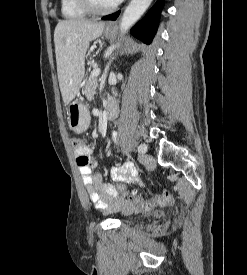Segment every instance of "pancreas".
Instances as JSON below:
<instances>
[{"instance_id": "cf45deb5", "label": "pancreas", "mask_w": 247, "mask_h": 275, "mask_svg": "<svg viewBox=\"0 0 247 275\" xmlns=\"http://www.w3.org/2000/svg\"><path fill=\"white\" fill-rule=\"evenodd\" d=\"M97 87H98L97 77L91 74V76L89 77L86 83L85 91H84V94L88 100H91L93 98Z\"/></svg>"}]
</instances>
